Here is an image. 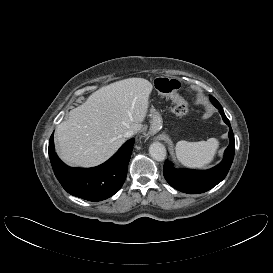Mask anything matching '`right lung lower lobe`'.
<instances>
[{"label": "right lung lower lobe", "mask_w": 273, "mask_h": 273, "mask_svg": "<svg viewBox=\"0 0 273 273\" xmlns=\"http://www.w3.org/2000/svg\"><path fill=\"white\" fill-rule=\"evenodd\" d=\"M135 139L124 143L105 163L93 168H72L64 164L49 141V158L56 178L71 195L89 201H101L114 195L123 185Z\"/></svg>", "instance_id": "1"}]
</instances>
